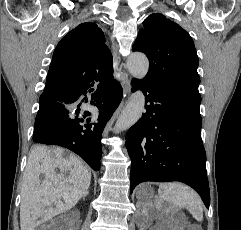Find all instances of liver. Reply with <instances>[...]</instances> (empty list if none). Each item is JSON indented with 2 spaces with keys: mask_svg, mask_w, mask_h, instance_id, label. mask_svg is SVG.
<instances>
[{
  "mask_svg": "<svg viewBox=\"0 0 241 230\" xmlns=\"http://www.w3.org/2000/svg\"><path fill=\"white\" fill-rule=\"evenodd\" d=\"M90 181L91 172L74 154L65 157L61 148L34 147L28 156L21 191V230H34L40 223L73 208L87 194ZM52 204L54 208L43 211V206Z\"/></svg>",
  "mask_w": 241,
  "mask_h": 230,
  "instance_id": "obj_1",
  "label": "liver"
}]
</instances>
